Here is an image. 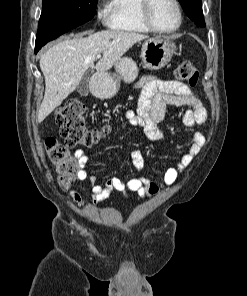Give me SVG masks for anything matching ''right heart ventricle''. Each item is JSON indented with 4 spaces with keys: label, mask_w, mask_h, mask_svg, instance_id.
I'll list each match as a JSON object with an SVG mask.
<instances>
[{
    "label": "right heart ventricle",
    "mask_w": 247,
    "mask_h": 296,
    "mask_svg": "<svg viewBox=\"0 0 247 296\" xmlns=\"http://www.w3.org/2000/svg\"><path fill=\"white\" fill-rule=\"evenodd\" d=\"M140 6L141 0H111L110 27L124 32L149 33L150 29L141 18Z\"/></svg>",
    "instance_id": "e07e8e85"
}]
</instances>
